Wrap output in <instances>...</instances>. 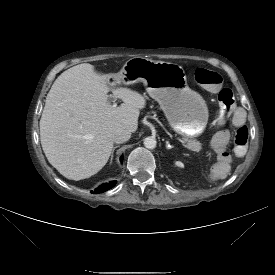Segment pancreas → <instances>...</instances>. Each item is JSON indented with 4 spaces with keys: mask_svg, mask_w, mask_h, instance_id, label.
Returning a JSON list of instances; mask_svg holds the SVG:
<instances>
[{
    "mask_svg": "<svg viewBox=\"0 0 275 275\" xmlns=\"http://www.w3.org/2000/svg\"><path fill=\"white\" fill-rule=\"evenodd\" d=\"M184 142L187 143V147L191 148L192 150H195L196 147L200 146V143L196 140H184Z\"/></svg>",
    "mask_w": 275,
    "mask_h": 275,
    "instance_id": "pancreas-1",
    "label": "pancreas"
}]
</instances>
